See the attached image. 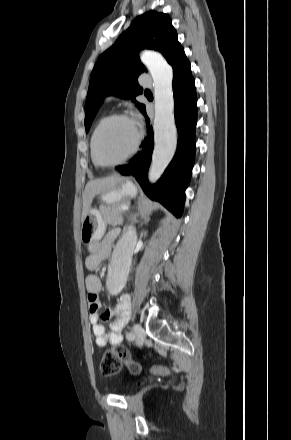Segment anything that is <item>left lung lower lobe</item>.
I'll return each instance as SVG.
<instances>
[{
    "instance_id": "1",
    "label": "left lung lower lobe",
    "mask_w": 291,
    "mask_h": 440,
    "mask_svg": "<svg viewBox=\"0 0 291 440\" xmlns=\"http://www.w3.org/2000/svg\"><path fill=\"white\" fill-rule=\"evenodd\" d=\"M174 115L178 130L176 154L160 180L150 186L147 179L148 168L154 147L153 130L147 119L149 136L142 143V151L134 156L128 165L117 166L122 175H133L142 189L154 200L162 203L176 217L183 212L185 189L189 184L195 159V129L197 123V96L190 62L185 53L172 65Z\"/></svg>"
}]
</instances>
